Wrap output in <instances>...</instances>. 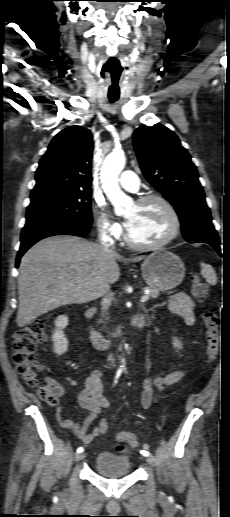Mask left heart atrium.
Masks as SVG:
<instances>
[{
    "label": "left heart atrium",
    "mask_w": 230,
    "mask_h": 517,
    "mask_svg": "<svg viewBox=\"0 0 230 517\" xmlns=\"http://www.w3.org/2000/svg\"><path fill=\"white\" fill-rule=\"evenodd\" d=\"M126 226L127 227L129 226V220H126Z\"/></svg>",
    "instance_id": "39dd6f15"
}]
</instances>
